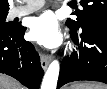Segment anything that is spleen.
Here are the masks:
<instances>
[{
	"label": "spleen",
	"mask_w": 107,
	"mask_h": 89,
	"mask_svg": "<svg viewBox=\"0 0 107 89\" xmlns=\"http://www.w3.org/2000/svg\"><path fill=\"white\" fill-rule=\"evenodd\" d=\"M72 89H106L107 87L102 84H88V83H82V84H75L71 86Z\"/></svg>",
	"instance_id": "1"
}]
</instances>
